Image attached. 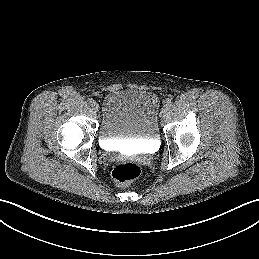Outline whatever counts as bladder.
<instances>
[{
  "mask_svg": "<svg viewBox=\"0 0 259 259\" xmlns=\"http://www.w3.org/2000/svg\"><path fill=\"white\" fill-rule=\"evenodd\" d=\"M157 95L148 90L124 89L108 93L102 102L98 135L104 143L149 145L158 138Z\"/></svg>",
  "mask_w": 259,
  "mask_h": 259,
  "instance_id": "obj_1",
  "label": "bladder"
}]
</instances>
